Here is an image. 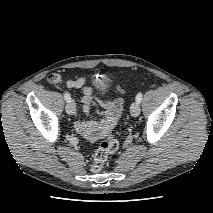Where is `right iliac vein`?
Instances as JSON below:
<instances>
[{"label": "right iliac vein", "instance_id": "obj_1", "mask_svg": "<svg viewBox=\"0 0 213 213\" xmlns=\"http://www.w3.org/2000/svg\"><path fill=\"white\" fill-rule=\"evenodd\" d=\"M66 112L69 114V115H74L76 113V104L73 100H71L70 102H68L66 104Z\"/></svg>", "mask_w": 213, "mask_h": 213}]
</instances>
